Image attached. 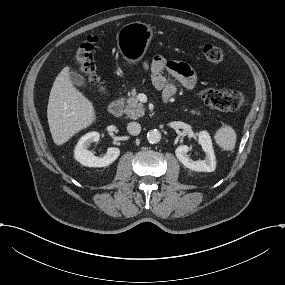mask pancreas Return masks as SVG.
Listing matches in <instances>:
<instances>
[{
    "label": "pancreas",
    "mask_w": 285,
    "mask_h": 285,
    "mask_svg": "<svg viewBox=\"0 0 285 285\" xmlns=\"http://www.w3.org/2000/svg\"><path fill=\"white\" fill-rule=\"evenodd\" d=\"M130 95L131 97L127 100L124 112L128 115V117L134 120L143 117L145 115V109L142 103L139 101L138 92L133 89ZM190 114L194 116L197 115L199 117L202 116V112L199 110H191Z\"/></svg>",
    "instance_id": "obj_1"
}]
</instances>
